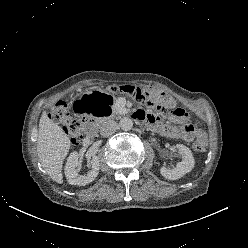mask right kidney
<instances>
[{
  "label": "right kidney",
  "mask_w": 248,
  "mask_h": 248,
  "mask_svg": "<svg viewBox=\"0 0 248 248\" xmlns=\"http://www.w3.org/2000/svg\"><path fill=\"white\" fill-rule=\"evenodd\" d=\"M79 164V155L76 151H74L67 159L64 172L69 184L84 186L92 182L98 176L99 159L97 156L92 157V159L89 161L91 170L86 175H80L78 173L76 168L79 166Z\"/></svg>",
  "instance_id": "right-kidney-1"
}]
</instances>
